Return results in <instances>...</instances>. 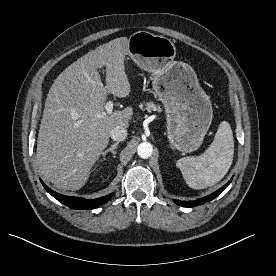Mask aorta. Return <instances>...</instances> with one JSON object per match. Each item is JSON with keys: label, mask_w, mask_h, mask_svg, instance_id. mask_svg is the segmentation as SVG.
<instances>
[{"label": "aorta", "mask_w": 276, "mask_h": 276, "mask_svg": "<svg viewBox=\"0 0 276 276\" xmlns=\"http://www.w3.org/2000/svg\"><path fill=\"white\" fill-rule=\"evenodd\" d=\"M153 148L149 142H142L139 144L137 148V153L139 157L143 159H147L152 155Z\"/></svg>", "instance_id": "1"}]
</instances>
